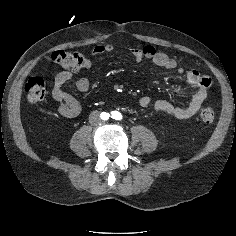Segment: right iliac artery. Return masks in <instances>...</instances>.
<instances>
[{
	"instance_id": "1",
	"label": "right iliac artery",
	"mask_w": 236,
	"mask_h": 236,
	"mask_svg": "<svg viewBox=\"0 0 236 236\" xmlns=\"http://www.w3.org/2000/svg\"><path fill=\"white\" fill-rule=\"evenodd\" d=\"M103 116H104L105 119H107L109 114L108 113H103Z\"/></svg>"
}]
</instances>
